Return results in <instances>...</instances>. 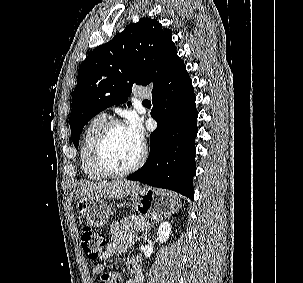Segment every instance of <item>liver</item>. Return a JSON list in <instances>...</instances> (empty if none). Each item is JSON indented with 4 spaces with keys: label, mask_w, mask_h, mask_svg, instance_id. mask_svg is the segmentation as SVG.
<instances>
[{
    "label": "liver",
    "mask_w": 303,
    "mask_h": 283,
    "mask_svg": "<svg viewBox=\"0 0 303 283\" xmlns=\"http://www.w3.org/2000/svg\"><path fill=\"white\" fill-rule=\"evenodd\" d=\"M140 188L137 182L117 180L110 182H79L76 199L80 197L121 199Z\"/></svg>",
    "instance_id": "1"
}]
</instances>
